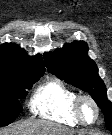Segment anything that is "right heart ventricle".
<instances>
[{
  "instance_id": "right-heart-ventricle-1",
  "label": "right heart ventricle",
  "mask_w": 112,
  "mask_h": 135,
  "mask_svg": "<svg viewBox=\"0 0 112 135\" xmlns=\"http://www.w3.org/2000/svg\"><path fill=\"white\" fill-rule=\"evenodd\" d=\"M76 93L58 80H50L39 86L30 100L33 114L69 126L80 125L74 114Z\"/></svg>"
}]
</instances>
